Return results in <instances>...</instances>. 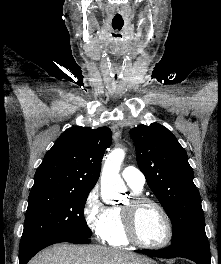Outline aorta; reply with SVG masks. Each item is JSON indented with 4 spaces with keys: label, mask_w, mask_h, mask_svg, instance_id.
Here are the masks:
<instances>
[{
    "label": "aorta",
    "mask_w": 221,
    "mask_h": 264,
    "mask_svg": "<svg viewBox=\"0 0 221 264\" xmlns=\"http://www.w3.org/2000/svg\"><path fill=\"white\" fill-rule=\"evenodd\" d=\"M125 157L123 149L113 150L105 160L101 173V196L104 201L117 200L125 192V184L119 171Z\"/></svg>",
    "instance_id": "1"
}]
</instances>
